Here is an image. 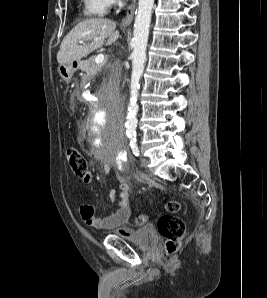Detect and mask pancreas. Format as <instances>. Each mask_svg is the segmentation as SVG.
I'll return each mask as SVG.
<instances>
[{
	"instance_id": "1",
	"label": "pancreas",
	"mask_w": 267,
	"mask_h": 298,
	"mask_svg": "<svg viewBox=\"0 0 267 298\" xmlns=\"http://www.w3.org/2000/svg\"><path fill=\"white\" fill-rule=\"evenodd\" d=\"M95 56L83 61L80 65V70L85 73L83 78H91L104 66V62L100 64L95 63Z\"/></svg>"
}]
</instances>
